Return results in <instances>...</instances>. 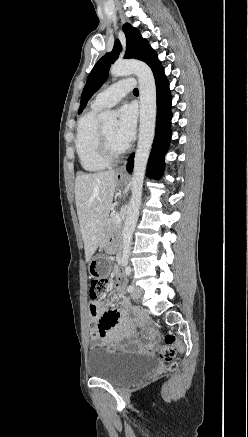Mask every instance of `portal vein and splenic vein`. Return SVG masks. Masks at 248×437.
Instances as JSON below:
<instances>
[{
    "label": "portal vein and splenic vein",
    "mask_w": 248,
    "mask_h": 437,
    "mask_svg": "<svg viewBox=\"0 0 248 437\" xmlns=\"http://www.w3.org/2000/svg\"><path fill=\"white\" fill-rule=\"evenodd\" d=\"M112 222L113 223H120L121 222L119 214H116V216L112 219Z\"/></svg>",
    "instance_id": "obj_1"
}]
</instances>
